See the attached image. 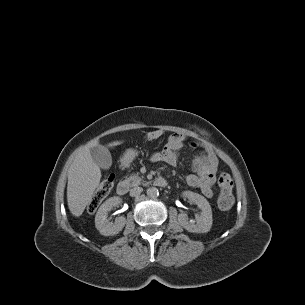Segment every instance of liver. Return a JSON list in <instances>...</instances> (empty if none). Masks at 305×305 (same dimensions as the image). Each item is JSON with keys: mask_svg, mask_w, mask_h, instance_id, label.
<instances>
[{"mask_svg": "<svg viewBox=\"0 0 305 305\" xmlns=\"http://www.w3.org/2000/svg\"><path fill=\"white\" fill-rule=\"evenodd\" d=\"M98 143V139H93L85 146L78 148L68 169V208L76 217L82 215L101 180V170L90 153V148L97 146ZM122 143L123 141H113L107 146L112 148Z\"/></svg>", "mask_w": 305, "mask_h": 305, "instance_id": "6515ba94", "label": "liver"}]
</instances>
